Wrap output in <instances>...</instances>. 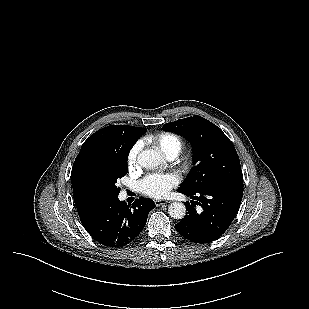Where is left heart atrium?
<instances>
[{
    "instance_id": "39dd6f15",
    "label": "left heart atrium",
    "mask_w": 309,
    "mask_h": 309,
    "mask_svg": "<svg viewBox=\"0 0 309 309\" xmlns=\"http://www.w3.org/2000/svg\"><path fill=\"white\" fill-rule=\"evenodd\" d=\"M178 183V179L173 174L153 173L147 175L140 182V190L143 194L162 198L168 195L170 190Z\"/></svg>"
}]
</instances>
